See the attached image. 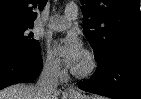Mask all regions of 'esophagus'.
Listing matches in <instances>:
<instances>
[{
	"instance_id": "obj_1",
	"label": "esophagus",
	"mask_w": 141,
	"mask_h": 99,
	"mask_svg": "<svg viewBox=\"0 0 141 99\" xmlns=\"http://www.w3.org/2000/svg\"><path fill=\"white\" fill-rule=\"evenodd\" d=\"M68 94H69L70 96H73V95H78L79 92H78V90H77L76 88H74L73 86H70V87L68 88Z\"/></svg>"
}]
</instances>
